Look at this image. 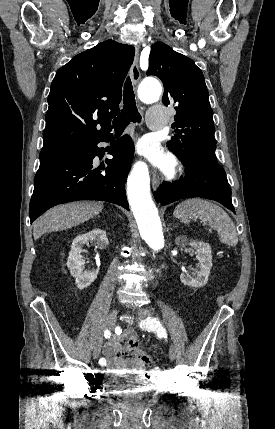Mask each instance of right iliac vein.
<instances>
[{"label":"right iliac vein","instance_id":"right-iliac-vein-1","mask_svg":"<svg viewBox=\"0 0 275 429\" xmlns=\"http://www.w3.org/2000/svg\"><path fill=\"white\" fill-rule=\"evenodd\" d=\"M117 309H113L109 315L106 318V322H105V327L107 329H113L115 324H116V320H117ZM101 347H102V338H99L98 341L95 343V346L93 348V358L97 359L100 355V351H101Z\"/></svg>","mask_w":275,"mask_h":429}]
</instances>
